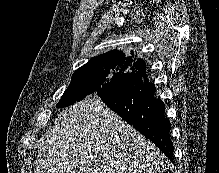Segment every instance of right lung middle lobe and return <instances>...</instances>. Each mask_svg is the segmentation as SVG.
<instances>
[{
    "instance_id": "obj_1",
    "label": "right lung middle lobe",
    "mask_w": 219,
    "mask_h": 173,
    "mask_svg": "<svg viewBox=\"0 0 219 173\" xmlns=\"http://www.w3.org/2000/svg\"><path fill=\"white\" fill-rule=\"evenodd\" d=\"M132 67L118 62H107L98 66H85L72 75V81L64 92L57 108L66 107L82 100L85 96L97 93H110L118 89Z\"/></svg>"
}]
</instances>
